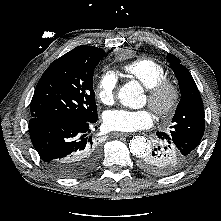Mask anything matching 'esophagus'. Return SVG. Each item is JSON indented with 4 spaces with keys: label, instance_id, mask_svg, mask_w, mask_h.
<instances>
[{
    "label": "esophagus",
    "instance_id": "34e87169",
    "mask_svg": "<svg viewBox=\"0 0 221 221\" xmlns=\"http://www.w3.org/2000/svg\"><path fill=\"white\" fill-rule=\"evenodd\" d=\"M112 135H113L114 137H117V138L130 136V134H128V133H120V132H115V133H113Z\"/></svg>",
    "mask_w": 221,
    "mask_h": 221
}]
</instances>
